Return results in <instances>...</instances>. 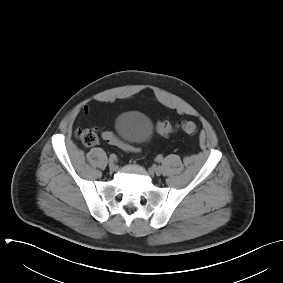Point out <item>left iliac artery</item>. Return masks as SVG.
<instances>
[{
	"mask_svg": "<svg viewBox=\"0 0 283 283\" xmlns=\"http://www.w3.org/2000/svg\"><path fill=\"white\" fill-rule=\"evenodd\" d=\"M162 160H163L162 155H158V156H157V161H158V162H162Z\"/></svg>",
	"mask_w": 283,
	"mask_h": 283,
	"instance_id": "obj_1",
	"label": "left iliac artery"
}]
</instances>
